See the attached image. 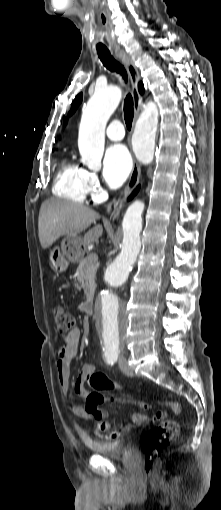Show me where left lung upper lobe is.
Listing matches in <instances>:
<instances>
[{
	"mask_svg": "<svg viewBox=\"0 0 221 510\" xmlns=\"http://www.w3.org/2000/svg\"><path fill=\"white\" fill-rule=\"evenodd\" d=\"M81 101H82V94H79V95H78V96L74 99V101H73V103H72V107H71V111H70L69 115H71L72 113H74V112L76 111V109H77L78 105L81 103ZM65 122H67V119H66V121H65Z\"/></svg>",
	"mask_w": 221,
	"mask_h": 510,
	"instance_id": "5c2ea615",
	"label": "left lung upper lobe"
}]
</instances>
